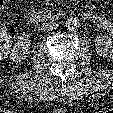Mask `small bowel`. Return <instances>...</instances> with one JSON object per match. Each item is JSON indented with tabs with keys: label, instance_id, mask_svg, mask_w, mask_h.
<instances>
[{
	"label": "small bowel",
	"instance_id": "c3829d8e",
	"mask_svg": "<svg viewBox=\"0 0 113 113\" xmlns=\"http://www.w3.org/2000/svg\"><path fill=\"white\" fill-rule=\"evenodd\" d=\"M87 20L113 36V21L98 13L87 14Z\"/></svg>",
	"mask_w": 113,
	"mask_h": 113
}]
</instances>
